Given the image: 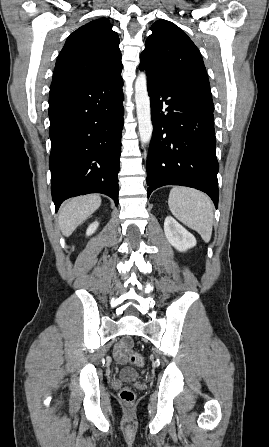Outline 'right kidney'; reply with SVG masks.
Instances as JSON below:
<instances>
[{"label": "right kidney", "instance_id": "ca27d5eb", "mask_svg": "<svg viewBox=\"0 0 269 447\" xmlns=\"http://www.w3.org/2000/svg\"><path fill=\"white\" fill-rule=\"evenodd\" d=\"M97 227L98 222H93V224H90L89 227H87L86 235H92Z\"/></svg>", "mask_w": 269, "mask_h": 447}]
</instances>
